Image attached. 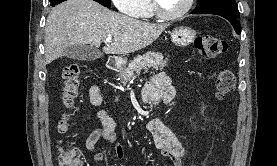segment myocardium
<instances>
[{
	"instance_id": "obj_1",
	"label": "myocardium",
	"mask_w": 277,
	"mask_h": 166,
	"mask_svg": "<svg viewBox=\"0 0 277 166\" xmlns=\"http://www.w3.org/2000/svg\"><path fill=\"white\" fill-rule=\"evenodd\" d=\"M149 1L154 15L164 21H174L182 18L190 11L194 2V0H186L185 5L178 12L173 14H167L161 9L157 0H149Z\"/></svg>"
}]
</instances>
